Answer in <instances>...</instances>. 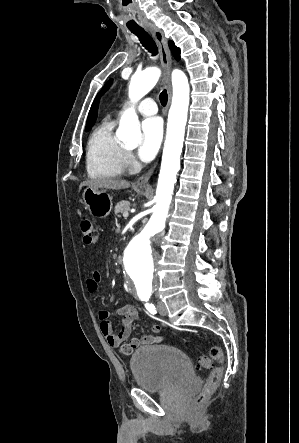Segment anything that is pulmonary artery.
Wrapping results in <instances>:
<instances>
[{"label":"pulmonary artery","instance_id":"pulmonary-artery-1","mask_svg":"<svg viewBox=\"0 0 299 443\" xmlns=\"http://www.w3.org/2000/svg\"><path fill=\"white\" fill-rule=\"evenodd\" d=\"M137 111L142 115H154L157 112L156 103L152 99H145L137 106Z\"/></svg>","mask_w":299,"mask_h":443}]
</instances>
